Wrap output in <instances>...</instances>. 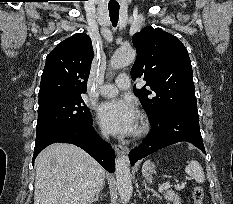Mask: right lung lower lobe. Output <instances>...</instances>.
I'll return each instance as SVG.
<instances>
[{
    "label": "right lung lower lobe",
    "mask_w": 233,
    "mask_h": 204,
    "mask_svg": "<svg viewBox=\"0 0 233 204\" xmlns=\"http://www.w3.org/2000/svg\"><path fill=\"white\" fill-rule=\"evenodd\" d=\"M74 144L89 153L108 172L115 171V153L112 146L104 141L92 127L88 125L64 130L35 142L33 162L36 156L52 143Z\"/></svg>",
    "instance_id": "obj_1"
}]
</instances>
